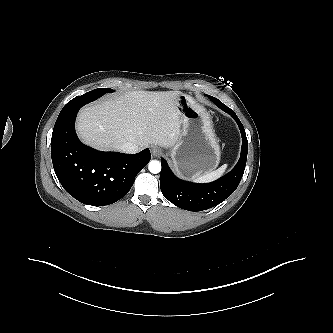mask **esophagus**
<instances>
[{"label":"esophagus","mask_w":333,"mask_h":333,"mask_svg":"<svg viewBox=\"0 0 333 333\" xmlns=\"http://www.w3.org/2000/svg\"><path fill=\"white\" fill-rule=\"evenodd\" d=\"M161 153L162 152L159 148H157V147L151 148V154H152L153 157H158V156L161 155Z\"/></svg>","instance_id":"34e87169"}]
</instances>
